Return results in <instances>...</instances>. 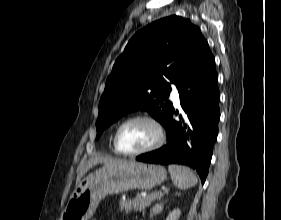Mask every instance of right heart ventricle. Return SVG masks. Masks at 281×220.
<instances>
[{
    "instance_id": "1",
    "label": "right heart ventricle",
    "mask_w": 281,
    "mask_h": 220,
    "mask_svg": "<svg viewBox=\"0 0 281 220\" xmlns=\"http://www.w3.org/2000/svg\"><path fill=\"white\" fill-rule=\"evenodd\" d=\"M113 151H114L115 153H117L116 150L114 149V147H113Z\"/></svg>"
}]
</instances>
